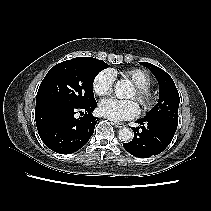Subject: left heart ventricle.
<instances>
[{"mask_svg": "<svg viewBox=\"0 0 211 211\" xmlns=\"http://www.w3.org/2000/svg\"><path fill=\"white\" fill-rule=\"evenodd\" d=\"M136 97V94H135V91H133V93L130 95V98H135Z\"/></svg>", "mask_w": 211, "mask_h": 211, "instance_id": "obj_1", "label": "left heart ventricle"}]
</instances>
